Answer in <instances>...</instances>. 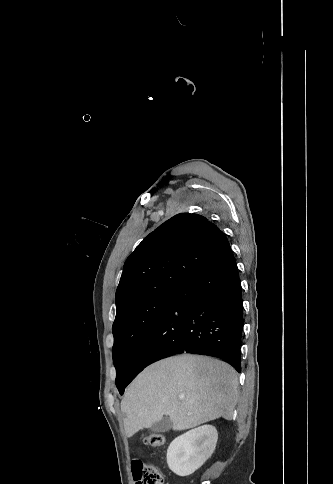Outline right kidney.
I'll return each instance as SVG.
<instances>
[{
  "label": "right kidney",
  "mask_w": 333,
  "mask_h": 484,
  "mask_svg": "<svg viewBox=\"0 0 333 484\" xmlns=\"http://www.w3.org/2000/svg\"><path fill=\"white\" fill-rule=\"evenodd\" d=\"M218 432L212 425H203L175 438L167 450V464L179 476L198 470L215 450Z\"/></svg>",
  "instance_id": "ca27d5eb"
}]
</instances>
